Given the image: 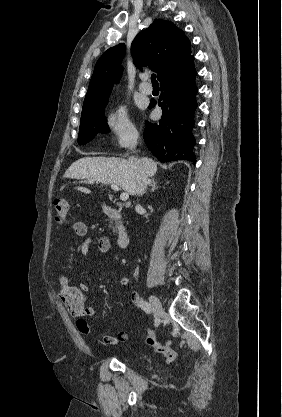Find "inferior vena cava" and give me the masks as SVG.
I'll use <instances>...</instances> for the list:
<instances>
[{
	"label": "inferior vena cava",
	"instance_id": "inferior-vena-cava-1",
	"mask_svg": "<svg viewBox=\"0 0 282 417\" xmlns=\"http://www.w3.org/2000/svg\"><path fill=\"white\" fill-rule=\"evenodd\" d=\"M138 138H139V134H138L137 130H131L129 144H127V146H129L130 150H134V148H136ZM129 160H135V158H129ZM149 182H150V180H149V178H147L146 172H145L143 166H141V164H140V166H138L137 186L135 188L136 194H143V192H145V190L147 188V184H149ZM139 206H140V204H139Z\"/></svg>",
	"mask_w": 282,
	"mask_h": 417
}]
</instances>
